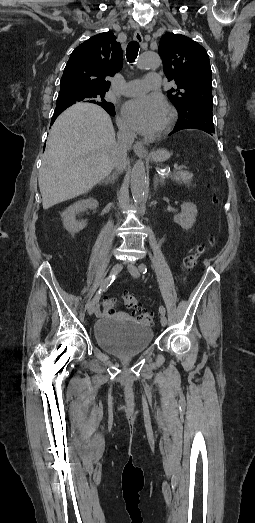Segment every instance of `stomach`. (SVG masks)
I'll return each instance as SVG.
<instances>
[{"label": "stomach", "instance_id": "obj_1", "mask_svg": "<svg viewBox=\"0 0 255 523\" xmlns=\"http://www.w3.org/2000/svg\"><path fill=\"white\" fill-rule=\"evenodd\" d=\"M166 158H168V152H166V150H157V152L152 154V160H154V162H163Z\"/></svg>", "mask_w": 255, "mask_h": 523}]
</instances>
